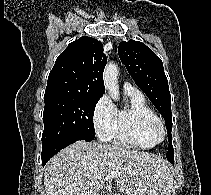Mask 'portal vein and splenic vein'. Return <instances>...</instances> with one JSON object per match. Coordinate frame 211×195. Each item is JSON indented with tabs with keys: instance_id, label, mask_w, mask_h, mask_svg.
Wrapping results in <instances>:
<instances>
[{
	"instance_id": "1",
	"label": "portal vein and splenic vein",
	"mask_w": 211,
	"mask_h": 195,
	"mask_svg": "<svg viewBox=\"0 0 211 195\" xmlns=\"http://www.w3.org/2000/svg\"><path fill=\"white\" fill-rule=\"evenodd\" d=\"M119 176H120V173H118V172H112L108 177L105 178V180H109L112 177H119ZM107 195H109V193Z\"/></svg>"
}]
</instances>
